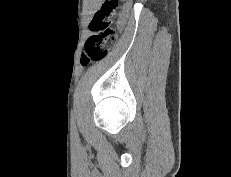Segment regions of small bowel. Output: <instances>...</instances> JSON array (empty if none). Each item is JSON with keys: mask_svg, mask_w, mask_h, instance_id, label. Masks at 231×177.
I'll list each match as a JSON object with an SVG mask.
<instances>
[{"mask_svg": "<svg viewBox=\"0 0 231 177\" xmlns=\"http://www.w3.org/2000/svg\"><path fill=\"white\" fill-rule=\"evenodd\" d=\"M123 23H124V20H123V18H122V19L120 20V22H119V25L122 26Z\"/></svg>", "mask_w": 231, "mask_h": 177, "instance_id": "small-bowel-1", "label": "small bowel"}]
</instances>
